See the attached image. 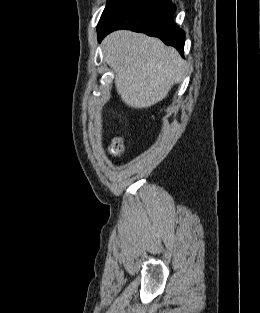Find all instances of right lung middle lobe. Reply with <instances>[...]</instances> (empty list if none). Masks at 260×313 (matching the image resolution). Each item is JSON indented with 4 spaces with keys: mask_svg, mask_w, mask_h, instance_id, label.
I'll return each mask as SVG.
<instances>
[{
    "mask_svg": "<svg viewBox=\"0 0 260 313\" xmlns=\"http://www.w3.org/2000/svg\"><path fill=\"white\" fill-rule=\"evenodd\" d=\"M118 1L119 0H108V3L106 5V8H105L102 16L105 15Z\"/></svg>",
    "mask_w": 260,
    "mask_h": 313,
    "instance_id": "dd1d6c3e",
    "label": "right lung middle lobe"
}]
</instances>
